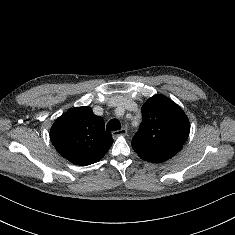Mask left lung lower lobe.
Masks as SVG:
<instances>
[{
  "label": "left lung lower lobe",
  "mask_w": 235,
  "mask_h": 235,
  "mask_svg": "<svg viewBox=\"0 0 235 235\" xmlns=\"http://www.w3.org/2000/svg\"><path fill=\"white\" fill-rule=\"evenodd\" d=\"M146 161L154 162V163H160V162H163L162 160H146Z\"/></svg>",
  "instance_id": "0a47b994"
}]
</instances>
